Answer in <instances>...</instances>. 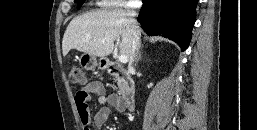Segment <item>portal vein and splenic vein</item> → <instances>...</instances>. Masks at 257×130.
Instances as JSON below:
<instances>
[{
	"mask_svg": "<svg viewBox=\"0 0 257 130\" xmlns=\"http://www.w3.org/2000/svg\"><path fill=\"white\" fill-rule=\"evenodd\" d=\"M103 42H104V41H103ZM118 59H119V61H120L121 63H127V62H128V57L125 56V55H120V56L118 57Z\"/></svg>",
	"mask_w": 257,
	"mask_h": 130,
	"instance_id": "portal-vein-and-splenic-vein-1",
	"label": "portal vein and splenic vein"
}]
</instances>
